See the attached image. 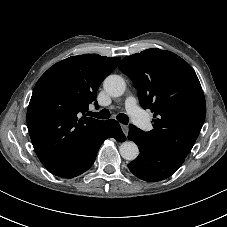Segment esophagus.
Returning a JSON list of instances; mask_svg holds the SVG:
<instances>
[{"instance_id": "obj_1", "label": "esophagus", "mask_w": 227, "mask_h": 227, "mask_svg": "<svg viewBox=\"0 0 227 227\" xmlns=\"http://www.w3.org/2000/svg\"><path fill=\"white\" fill-rule=\"evenodd\" d=\"M121 128H122V130H123L125 136H128V131H129L128 126H127V125L121 124Z\"/></svg>"}]
</instances>
